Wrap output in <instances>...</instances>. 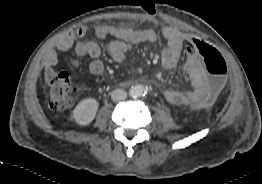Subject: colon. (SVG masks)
Listing matches in <instances>:
<instances>
[{
	"instance_id": "5ec220e1",
	"label": "colon",
	"mask_w": 262,
	"mask_h": 184,
	"mask_svg": "<svg viewBox=\"0 0 262 184\" xmlns=\"http://www.w3.org/2000/svg\"><path fill=\"white\" fill-rule=\"evenodd\" d=\"M193 46L198 59L203 63L207 88L212 99L223 90L227 78V66L220 52L213 46L196 39ZM49 105L61 110L71 106L77 95V87L67 72L54 73L49 77Z\"/></svg>"
}]
</instances>
